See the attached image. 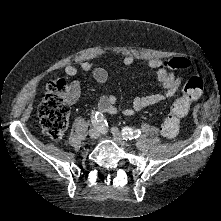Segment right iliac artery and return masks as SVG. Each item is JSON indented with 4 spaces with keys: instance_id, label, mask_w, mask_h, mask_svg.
<instances>
[{
    "instance_id": "1",
    "label": "right iliac artery",
    "mask_w": 221,
    "mask_h": 221,
    "mask_svg": "<svg viewBox=\"0 0 221 221\" xmlns=\"http://www.w3.org/2000/svg\"><path fill=\"white\" fill-rule=\"evenodd\" d=\"M92 124L97 128H102L107 125L106 120H104L103 114L100 112L92 113Z\"/></svg>"
}]
</instances>
